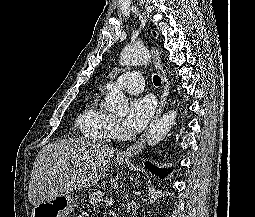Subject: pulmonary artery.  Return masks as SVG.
I'll return each instance as SVG.
<instances>
[{
    "mask_svg": "<svg viewBox=\"0 0 255 217\" xmlns=\"http://www.w3.org/2000/svg\"><path fill=\"white\" fill-rule=\"evenodd\" d=\"M115 85L132 94L140 93L144 89V78L138 71H127L117 78ZM110 86L112 84L108 83L107 88Z\"/></svg>",
    "mask_w": 255,
    "mask_h": 217,
    "instance_id": "pulmonary-artery-1",
    "label": "pulmonary artery"
}]
</instances>
